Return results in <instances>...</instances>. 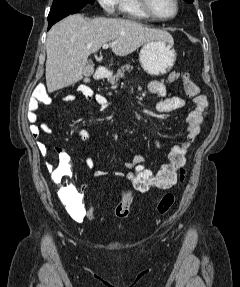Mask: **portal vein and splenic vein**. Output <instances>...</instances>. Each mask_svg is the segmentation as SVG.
<instances>
[{
	"mask_svg": "<svg viewBox=\"0 0 240 287\" xmlns=\"http://www.w3.org/2000/svg\"><path fill=\"white\" fill-rule=\"evenodd\" d=\"M110 46H112V44L111 43H109V44H103V46H102V48L103 49H107V48H109Z\"/></svg>",
	"mask_w": 240,
	"mask_h": 287,
	"instance_id": "obj_1",
	"label": "portal vein and splenic vein"
}]
</instances>
